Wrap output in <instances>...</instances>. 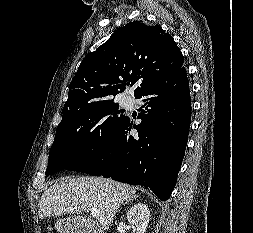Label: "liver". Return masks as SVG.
<instances>
[{"mask_svg":"<svg viewBox=\"0 0 253 233\" xmlns=\"http://www.w3.org/2000/svg\"><path fill=\"white\" fill-rule=\"evenodd\" d=\"M136 197V189L101 177H64L45 190L38 204L39 218L78 214L97 208L95 230H108L118 208Z\"/></svg>","mask_w":253,"mask_h":233,"instance_id":"1","label":"liver"}]
</instances>
